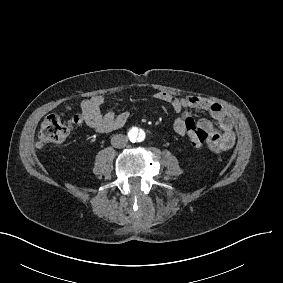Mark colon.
<instances>
[{
    "label": "colon",
    "instance_id": "5ec220e1",
    "mask_svg": "<svg viewBox=\"0 0 283 283\" xmlns=\"http://www.w3.org/2000/svg\"><path fill=\"white\" fill-rule=\"evenodd\" d=\"M184 124L187 135L193 139L192 145L194 147H199L208 138L207 130L199 127L193 117L185 119ZM81 125V116L67 109L59 114L47 116L41 124L37 136V146L61 143L69 138L73 128H78Z\"/></svg>",
    "mask_w": 283,
    "mask_h": 283
}]
</instances>
